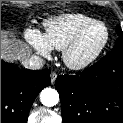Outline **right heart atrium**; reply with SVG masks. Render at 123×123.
Returning a JSON list of instances; mask_svg holds the SVG:
<instances>
[{
	"mask_svg": "<svg viewBox=\"0 0 123 123\" xmlns=\"http://www.w3.org/2000/svg\"><path fill=\"white\" fill-rule=\"evenodd\" d=\"M26 42L40 55L48 57L51 54V47L46 42L44 35L37 29L29 28L25 31Z\"/></svg>",
	"mask_w": 123,
	"mask_h": 123,
	"instance_id": "1",
	"label": "right heart atrium"
}]
</instances>
